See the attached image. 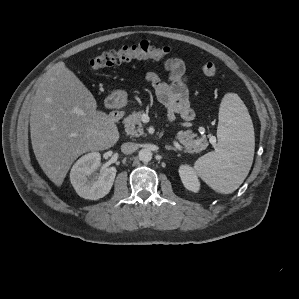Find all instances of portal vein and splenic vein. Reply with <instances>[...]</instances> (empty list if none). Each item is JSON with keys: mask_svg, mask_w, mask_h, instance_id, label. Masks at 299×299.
Masks as SVG:
<instances>
[{"mask_svg": "<svg viewBox=\"0 0 299 299\" xmlns=\"http://www.w3.org/2000/svg\"><path fill=\"white\" fill-rule=\"evenodd\" d=\"M174 146H175L178 150L182 151V146H181L178 142L174 141Z\"/></svg>", "mask_w": 299, "mask_h": 299, "instance_id": "obj_1", "label": "portal vein and splenic vein"}]
</instances>
